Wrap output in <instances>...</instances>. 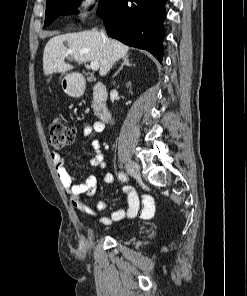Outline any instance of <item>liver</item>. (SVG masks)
I'll list each match as a JSON object with an SVG mask.
<instances>
[{"mask_svg":"<svg viewBox=\"0 0 247 296\" xmlns=\"http://www.w3.org/2000/svg\"><path fill=\"white\" fill-rule=\"evenodd\" d=\"M67 42V46L64 42ZM129 47L118 40L109 39L97 30L57 35L49 39L43 52V71L48 76L73 69L65 62L70 55L78 64L97 62L99 74L105 76L112 65L127 55Z\"/></svg>","mask_w":247,"mask_h":296,"instance_id":"6515ba94","label":"liver"}]
</instances>
